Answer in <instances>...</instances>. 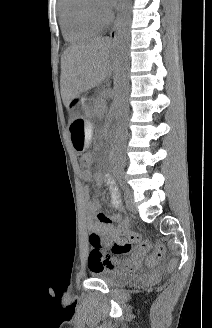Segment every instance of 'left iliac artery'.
I'll list each match as a JSON object with an SVG mask.
<instances>
[{"label": "left iliac artery", "instance_id": "obj_1", "mask_svg": "<svg viewBox=\"0 0 212 328\" xmlns=\"http://www.w3.org/2000/svg\"><path fill=\"white\" fill-rule=\"evenodd\" d=\"M120 185H121L123 190H126V185H125V183L122 179H120Z\"/></svg>", "mask_w": 212, "mask_h": 328}]
</instances>
